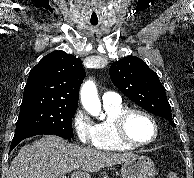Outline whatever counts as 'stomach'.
Listing matches in <instances>:
<instances>
[{"mask_svg": "<svg viewBox=\"0 0 194 178\" xmlns=\"http://www.w3.org/2000/svg\"><path fill=\"white\" fill-rule=\"evenodd\" d=\"M156 174L154 162L146 156H136L123 163L122 178H154Z\"/></svg>", "mask_w": 194, "mask_h": 178, "instance_id": "1", "label": "stomach"}]
</instances>
